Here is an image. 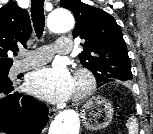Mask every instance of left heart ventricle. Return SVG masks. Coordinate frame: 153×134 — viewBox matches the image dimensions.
Here are the masks:
<instances>
[{"instance_id":"left-heart-ventricle-1","label":"left heart ventricle","mask_w":153,"mask_h":134,"mask_svg":"<svg viewBox=\"0 0 153 134\" xmlns=\"http://www.w3.org/2000/svg\"><path fill=\"white\" fill-rule=\"evenodd\" d=\"M79 88V84L74 80V93Z\"/></svg>"}]
</instances>
